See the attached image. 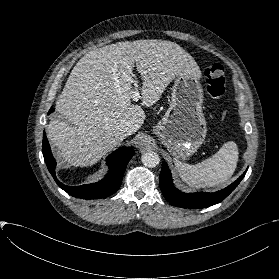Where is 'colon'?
I'll return each instance as SVG.
<instances>
[{
    "label": "colon",
    "mask_w": 279,
    "mask_h": 279,
    "mask_svg": "<svg viewBox=\"0 0 279 279\" xmlns=\"http://www.w3.org/2000/svg\"><path fill=\"white\" fill-rule=\"evenodd\" d=\"M204 76L207 84V91L213 100H219L225 91V70L219 63L209 65Z\"/></svg>",
    "instance_id": "5ec220e1"
}]
</instances>
